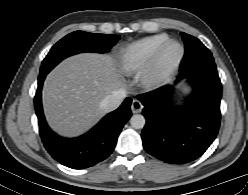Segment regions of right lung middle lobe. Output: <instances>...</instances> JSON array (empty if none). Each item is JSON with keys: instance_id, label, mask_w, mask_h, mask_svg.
I'll return each mask as SVG.
<instances>
[{"instance_id": "1", "label": "right lung middle lobe", "mask_w": 248, "mask_h": 195, "mask_svg": "<svg viewBox=\"0 0 248 195\" xmlns=\"http://www.w3.org/2000/svg\"><path fill=\"white\" fill-rule=\"evenodd\" d=\"M120 39L119 35L95 34L84 31H75L60 41L50 50L42 62L40 75L47 74L66 57L81 52L105 53Z\"/></svg>"}]
</instances>
